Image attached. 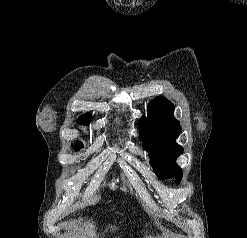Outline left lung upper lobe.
<instances>
[{"label": "left lung upper lobe", "mask_w": 247, "mask_h": 238, "mask_svg": "<svg viewBox=\"0 0 247 238\" xmlns=\"http://www.w3.org/2000/svg\"><path fill=\"white\" fill-rule=\"evenodd\" d=\"M147 111L148 116H143L139 122L143 147L149 152L157 176L161 179L175 177L179 183L182 170L175 161L183 148L175 142L181 127L173 116L174 106L169 100L158 97L150 102Z\"/></svg>", "instance_id": "5c2ea615"}]
</instances>
